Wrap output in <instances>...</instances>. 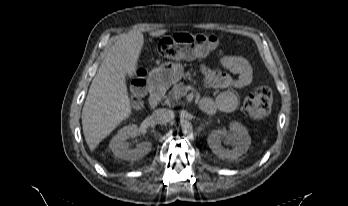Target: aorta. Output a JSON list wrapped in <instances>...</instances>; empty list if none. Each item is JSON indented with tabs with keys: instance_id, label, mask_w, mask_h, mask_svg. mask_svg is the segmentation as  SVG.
<instances>
[{
	"instance_id": "aorta-1",
	"label": "aorta",
	"mask_w": 348,
	"mask_h": 206,
	"mask_svg": "<svg viewBox=\"0 0 348 206\" xmlns=\"http://www.w3.org/2000/svg\"><path fill=\"white\" fill-rule=\"evenodd\" d=\"M179 126L181 127L183 133H188L192 130V125L188 120H181Z\"/></svg>"
}]
</instances>
